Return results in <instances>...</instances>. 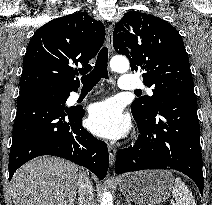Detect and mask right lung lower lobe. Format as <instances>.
<instances>
[{
    "label": "right lung lower lobe",
    "instance_id": "98d812e1",
    "mask_svg": "<svg viewBox=\"0 0 212 205\" xmlns=\"http://www.w3.org/2000/svg\"><path fill=\"white\" fill-rule=\"evenodd\" d=\"M70 92L45 87L18 97L9 181L21 165L41 155L63 157L88 168L99 179L106 176L107 145L82 127L83 110L66 109L60 102Z\"/></svg>",
    "mask_w": 212,
    "mask_h": 205
}]
</instances>
